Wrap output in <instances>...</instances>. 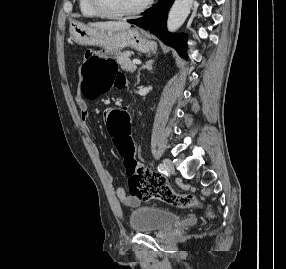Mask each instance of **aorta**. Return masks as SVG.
I'll return each mask as SVG.
<instances>
[{"mask_svg": "<svg viewBox=\"0 0 286 269\" xmlns=\"http://www.w3.org/2000/svg\"><path fill=\"white\" fill-rule=\"evenodd\" d=\"M192 4L193 0H175L168 15V31L175 32L182 26L190 13Z\"/></svg>", "mask_w": 286, "mask_h": 269, "instance_id": "obj_1", "label": "aorta"}]
</instances>
